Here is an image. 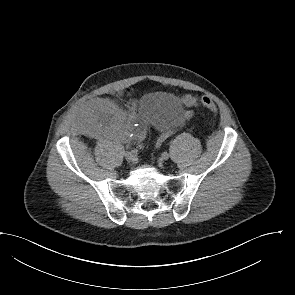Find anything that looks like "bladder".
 <instances>
[{
    "label": "bladder",
    "mask_w": 295,
    "mask_h": 295,
    "mask_svg": "<svg viewBox=\"0 0 295 295\" xmlns=\"http://www.w3.org/2000/svg\"><path fill=\"white\" fill-rule=\"evenodd\" d=\"M181 102L164 92L145 94L139 103V112L152 125L163 131L174 128L182 116Z\"/></svg>",
    "instance_id": "bladder-1"
}]
</instances>
